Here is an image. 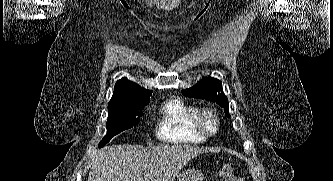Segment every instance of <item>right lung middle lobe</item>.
<instances>
[{"mask_svg": "<svg viewBox=\"0 0 333 181\" xmlns=\"http://www.w3.org/2000/svg\"><path fill=\"white\" fill-rule=\"evenodd\" d=\"M146 105L134 106L115 111H108V120L106 123L107 134L100 141L99 147H103L118 133L136 126L140 117L143 115L142 109Z\"/></svg>", "mask_w": 333, "mask_h": 181, "instance_id": "dd1d6c3e", "label": "right lung middle lobe"}]
</instances>
